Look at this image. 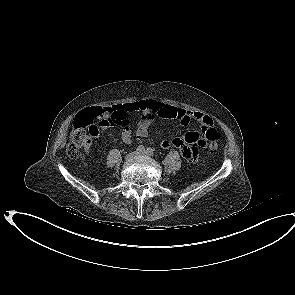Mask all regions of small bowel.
<instances>
[{
	"mask_svg": "<svg viewBox=\"0 0 295 295\" xmlns=\"http://www.w3.org/2000/svg\"><path fill=\"white\" fill-rule=\"evenodd\" d=\"M108 108L111 112L100 118V129L106 130L114 123L123 125L121 138L127 144L132 141V132L126 126V119L139 111L142 112L136 129V135L139 137H146L148 135L150 125L156 118L176 121L182 125H188L190 121L196 120L201 123L203 128L213 126L212 119L202 112L173 107L153 99H143ZM204 142L205 140L200 137L198 132L189 131L179 137L163 139L161 147L165 149L175 147L179 149L185 159L194 161L199 151L203 148Z\"/></svg>",
	"mask_w": 295,
	"mask_h": 295,
	"instance_id": "small-bowel-1",
	"label": "small bowel"
}]
</instances>
